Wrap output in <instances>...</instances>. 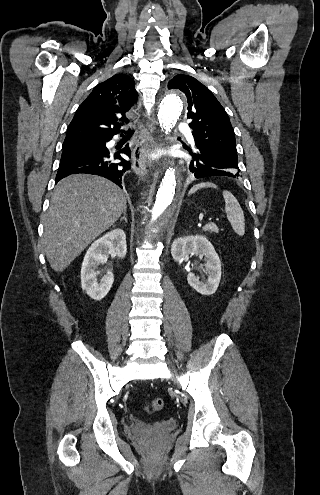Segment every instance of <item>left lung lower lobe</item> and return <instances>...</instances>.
<instances>
[{
  "label": "left lung lower lobe",
  "instance_id": "obj_1",
  "mask_svg": "<svg viewBox=\"0 0 320 495\" xmlns=\"http://www.w3.org/2000/svg\"><path fill=\"white\" fill-rule=\"evenodd\" d=\"M192 161L190 162V172L196 178L209 176H229L238 178L240 169L237 161L219 154L217 151L196 144L190 150Z\"/></svg>",
  "mask_w": 320,
  "mask_h": 495
}]
</instances>
